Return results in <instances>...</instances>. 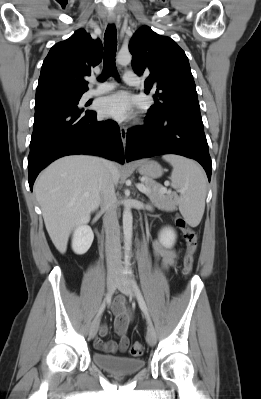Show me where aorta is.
<instances>
[{
	"instance_id": "762f6f07",
	"label": "aorta",
	"mask_w": 261,
	"mask_h": 399,
	"mask_svg": "<svg viewBox=\"0 0 261 399\" xmlns=\"http://www.w3.org/2000/svg\"><path fill=\"white\" fill-rule=\"evenodd\" d=\"M131 60H132V55L129 52L120 51L116 57V61L120 65H128L129 63H131ZM132 224H133V216L129 200H125L124 211H123V235H124V249L126 254H129L131 250L132 231H133Z\"/></svg>"
}]
</instances>
